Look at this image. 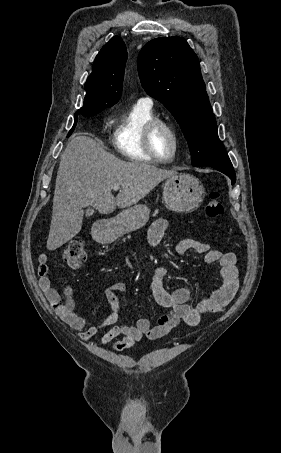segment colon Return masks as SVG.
Instances as JSON below:
<instances>
[{
  "mask_svg": "<svg viewBox=\"0 0 281 453\" xmlns=\"http://www.w3.org/2000/svg\"><path fill=\"white\" fill-rule=\"evenodd\" d=\"M206 215L209 220L217 222L224 216L223 201L219 194H211L206 200ZM64 262H86L88 253L85 249V241L82 238H72L67 243V248L62 255Z\"/></svg>",
  "mask_w": 281,
  "mask_h": 453,
  "instance_id": "1",
  "label": "colon"
}]
</instances>
